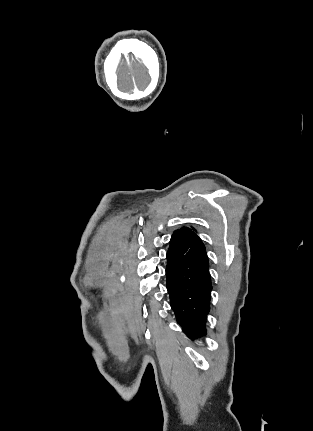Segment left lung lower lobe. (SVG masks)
<instances>
[{
    "label": "left lung lower lobe",
    "instance_id": "1",
    "mask_svg": "<svg viewBox=\"0 0 313 431\" xmlns=\"http://www.w3.org/2000/svg\"><path fill=\"white\" fill-rule=\"evenodd\" d=\"M167 290L183 332L191 339L206 336L211 278L205 246L190 228L176 230L167 252Z\"/></svg>",
    "mask_w": 313,
    "mask_h": 431
}]
</instances>
